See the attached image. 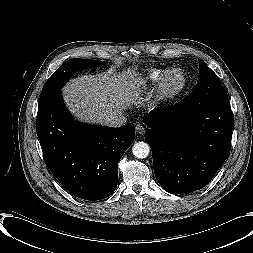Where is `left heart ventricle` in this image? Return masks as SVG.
Returning a JSON list of instances; mask_svg holds the SVG:
<instances>
[{"label":"left heart ventricle","mask_w":253,"mask_h":253,"mask_svg":"<svg viewBox=\"0 0 253 253\" xmlns=\"http://www.w3.org/2000/svg\"><path fill=\"white\" fill-rule=\"evenodd\" d=\"M181 83V76L179 73H175L170 76V78L167 81V88L168 89H175L178 87Z\"/></svg>","instance_id":"b2bd125f"}]
</instances>
